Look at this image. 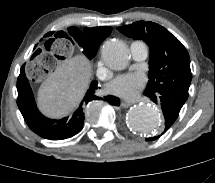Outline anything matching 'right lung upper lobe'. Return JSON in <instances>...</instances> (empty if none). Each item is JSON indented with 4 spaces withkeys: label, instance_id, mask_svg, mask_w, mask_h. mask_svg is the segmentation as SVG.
<instances>
[{
    "label": "right lung upper lobe",
    "instance_id": "1",
    "mask_svg": "<svg viewBox=\"0 0 215 183\" xmlns=\"http://www.w3.org/2000/svg\"><path fill=\"white\" fill-rule=\"evenodd\" d=\"M87 31H91L94 34L95 38L102 39V41L109 36V34L112 31L111 27H95V28H86ZM64 36H67L68 34L65 32H62Z\"/></svg>",
    "mask_w": 215,
    "mask_h": 183
}]
</instances>
